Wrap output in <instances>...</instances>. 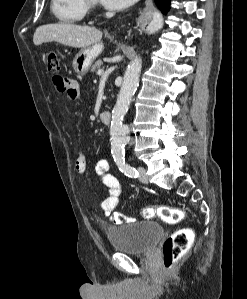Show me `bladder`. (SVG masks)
<instances>
[{
	"label": "bladder",
	"instance_id": "bladder-1",
	"mask_svg": "<svg viewBox=\"0 0 247 299\" xmlns=\"http://www.w3.org/2000/svg\"><path fill=\"white\" fill-rule=\"evenodd\" d=\"M164 234V228L154 221H141L110 227L107 238L116 251L130 254H146Z\"/></svg>",
	"mask_w": 247,
	"mask_h": 299
}]
</instances>
